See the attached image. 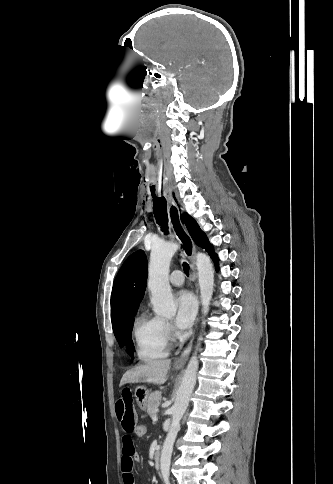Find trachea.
<instances>
[{
    "mask_svg": "<svg viewBox=\"0 0 333 484\" xmlns=\"http://www.w3.org/2000/svg\"><path fill=\"white\" fill-rule=\"evenodd\" d=\"M158 141L162 142L163 141V134L159 133L158 134ZM165 151L164 150H159L158 153L155 156V169L153 172V181H152V190L154 195L156 197H153V213L156 219V223L160 226L161 231L164 232L165 235H170L169 232V226H168V214H167V202L166 199L163 197V193L165 190L164 187V172H163V167H164V156H165ZM183 269L184 272L187 276H189V265L184 262L183 263Z\"/></svg>",
    "mask_w": 333,
    "mask_h": 484,
    "instance_id": "1",
    "label": "trachea"
}]
</instances>
